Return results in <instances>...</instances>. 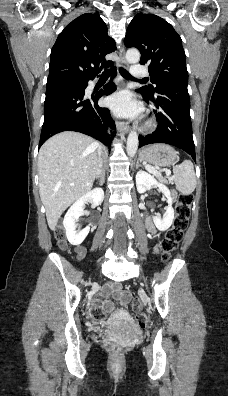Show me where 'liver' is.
I'll return each instance as SVG.
<instances>
[{"mask_svg":"<svg viewBox=\"0 0 228 396\" xmlns=\"http://www.w3.org/2000/svg\"><path fill=\"white\" fill-rule=\"evenodd\" d=\"M99 146L87 135L66 131L40 148L39 193L51 230L62 213L92 188L100 164Z\"/></svg>","mask_w":228,"mask_h":396,"instance_id":"6515ba94","label":"liver"}]
</instances>
